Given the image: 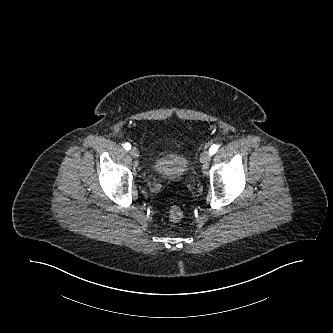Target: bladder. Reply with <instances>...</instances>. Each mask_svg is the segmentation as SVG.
I'll return each instance as SVG.
<instances>
[{
  "label": "bladder",
  "mask_w": 333,
  "mask_h": 333,
  "mask_svg": "<svg viewBox=\"0 0 333 333\" xmlns=\"http://www.w3.org/2000/svg\"><path fill=\"white\" fill-rule=\"evenodd\" d=\"M151 169L162 178L178 180L188 172L189 160L182 154L165 153L156 156L152 160Z\"/></svg>",
  "instance_id": "obj_1"
}]
</instances>
